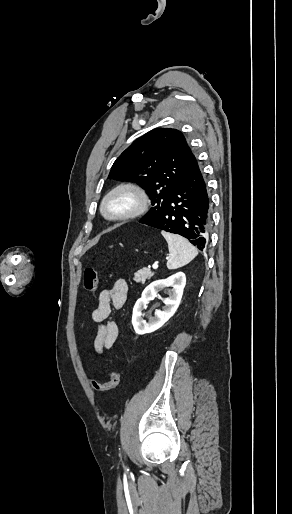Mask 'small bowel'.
<instances>
[{
    "label": "small bowel",
    "instance_id": "obj_1",
    "mask_svg": "<svg viewBox=\"0 0 292 514\" xmlns=\"http://www.w3.org/2000/svg\"><path fill=\"white\" fill-rule=\"evenodd\" d=\"M127 293L128 284L125 279L120 278L99 294L98 306L92 312V320L96 325L94 349L99 354L112 348L118 339V324L110 316L113 310L123 307Z\"/></svg>",
    "mask_w": 292,
    "mask_h": 514
}]
</instances>
